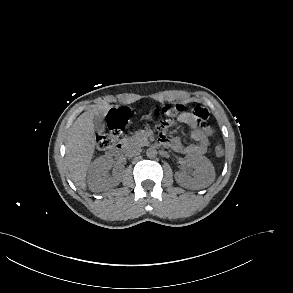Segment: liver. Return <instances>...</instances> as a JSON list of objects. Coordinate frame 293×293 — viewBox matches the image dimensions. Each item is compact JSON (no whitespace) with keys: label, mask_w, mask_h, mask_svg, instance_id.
<instances>
[{"label":"liver","mask_w":293,"mask_h":293,"mask_svg":"<svg viewBox=\"0 0 293 293\" xmlns=\"http://www.w3.org/2000/svg\"><path fill=\"white\" fill-rule=\"evenodd\" d=\"M110 107L107 106L106 110ZM96 109L82 113L71 126L67 136L66 163L71 179L86 188V173L94 154L93 116Z\"/></svg>","instance_id":"1"}]
</instances>
